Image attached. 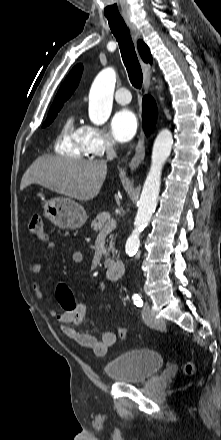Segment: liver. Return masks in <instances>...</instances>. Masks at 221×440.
<instances>
[{"instance_id":"obj_1","label":"liver","mask_w":221,"mask_h":440,"mask_svg":"<svg viewBox=\"0 0 221 440\" xmlns=\"http://www.w3.org/2000/svg\"><path fill=\"white\" fill-rule=\"evenodd\" d=\"M107 174L104 160H76L44 155L24 173L20 189L38 184L56 193L89 201L100 192Z\"/></svg>"}]
</instances>
